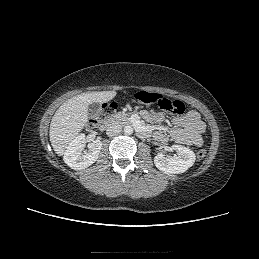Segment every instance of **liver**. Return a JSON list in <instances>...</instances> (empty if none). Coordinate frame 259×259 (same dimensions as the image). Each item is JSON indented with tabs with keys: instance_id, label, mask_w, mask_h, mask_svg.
<instances>
[{
	"instance_id": "1",
	"label": "liver",
	"mask_w": 259,
	"mask_h": 259,
	"mask_svg": "<svg viewBox=\"0 0 259 259\" xmlns=\"http://www.w3.org/2000/svg\"><path fill=\"white\" fill-rule=\"evenodd\" d=\"M115 91L84 93L63 103L55 112L50 123L49 137L56 154L62 156L69 143L85 127L88 107L93 102L105 103L116 96Z\"/></svg>"
}]
</instances>
